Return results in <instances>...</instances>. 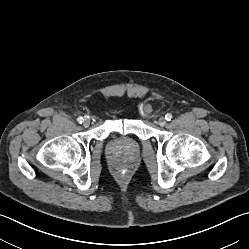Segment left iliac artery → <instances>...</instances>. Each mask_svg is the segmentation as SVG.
Instances as JSON below:
<instances>
[{
  "label": "left iliac artery",
  "instance_id": "obj_1",
  "mask_svg": "<svg viewBox=\"0 0 249 249\" xmlns=\"http://www.w3.org/2000/svg\"><path fill=\"white\" fill-rule=\"evenodd\" d=\"M172 118H173V116H172V114H170V113H167V114L165 115V119H166L167 121H170Z\"/></svg>",
  "mask_w": 249,
  "mask_h": 249
}]
</instances>
